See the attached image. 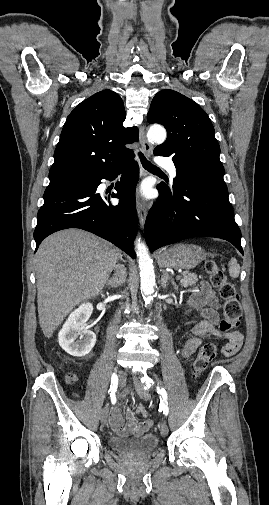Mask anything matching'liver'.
Listing matches in <instances>:
<instances>
[{"label":"liver","instance_id":"liver-1","mask_svg":"<svg viewBox=\"0 0 269 505\" xmlns=\"http://www.w3.org/2000/svg\"><path fill=\"white\" fill-rule=\"evenodd\" d=\"M121 252L79 229L47 237L35 255L39 324L50 338L68 313L103 289Z\"/></svg>","mask_w":269,"mask_h":505}]
</instances>
